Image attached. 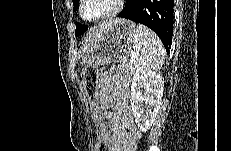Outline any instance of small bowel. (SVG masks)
I'll list each match as a JSON object with an SVG mask.
<instances>
[{"instance_id": "small-bowel-1", "label": "small bowel", "mask_w": 231, "mask_h": 151, "mask_svg": "<svg viewBox=\"0 0 231 151\" xmlns=\"http://www.w3.org/2000/svg\"><path fill=\"white\" fill-rule=\"evenodd\" d=\"M129 79L117 69L105 72L99 83V103L107 124L111 151H135L141 132L134 123L129 106Z\"/></svg>"}]
</instances>
